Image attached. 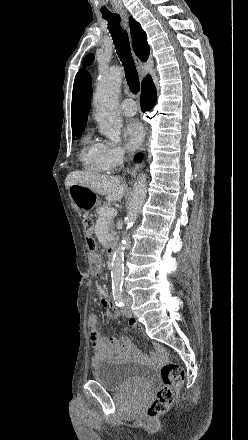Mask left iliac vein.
I'll return each instance as SVG.
<instances>
[{
    "label": "left iliac vein",
    "mask_w": 248,
    "mask_h": 440,
    "mask_svg": "<svg viewBox=\"0 0 248 440\" xmlns=\"http://www.w3.org/2000/svg\"><path fill=\"white\" fill-rule=\"evenodd\" d=\"M131 304H132L131 298L129 297L126 298L125 306L121 310L122 314L126 317H130L132 315Z\"/></svg>",
    "instance_id": "obj_1"
}]
</instances>
